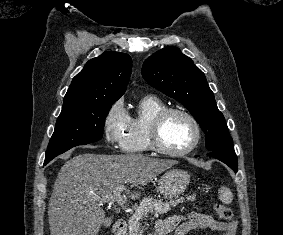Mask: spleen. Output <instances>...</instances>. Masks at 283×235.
<instances>
[{
    "label": "spleen",
    "mask_w": 283,
    "mask_h": 235,
    "mask_svg": "<svg viewBox=\"0 0 283 235\" xmlns=\"http://www.w3.org/2000/svg\"><path fill=\"white\" fill-rule=\"evenodd\" d=\"M219 199L223 204H230L233 200L231 190L225 186L219 189Z\"/></svg>",
    "instance_id": "obj_1"
}]
</instances>
